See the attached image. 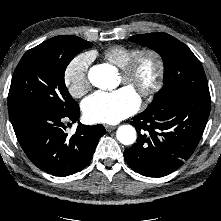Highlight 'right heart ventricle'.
<instances>
[{
    "instance_id": "right-heart-ventricle-1",
    "label": "right heart ventricle",
    "mask_w": 221,
    "mask_h": 221,
    "mask_svg": "<svg viewBox=\"0 0 221 221\" xmlns=\"http://www.w3.org/2000/svg\"><path fill=\"white\" fill-rule=\"evenodd\" d=\"M138 51H140V49L135 47L113 45L108 47L103 55L110 63L119 68H123Z\"/></svg>"
}]
</instances>
